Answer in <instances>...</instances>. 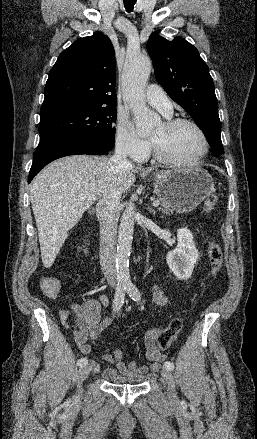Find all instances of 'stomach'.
I'll list each match as a JSON object with an SVG mask.
<instances>
[{"label": "stomach", "instance_id": "1", "mask_svg": "<svg viewBox=\"0 0 257 439\" xmlns=\"http://www.w3.org/2000/svg\"><path fill=\"white\" fill-rule=\"evenodd\" d=\"M154 191L177 213L197 208L214 191V180L204 169H174L154 175Z\"/></svg>", "mask_w": 257, "mask_h": 439}]
</instances>
